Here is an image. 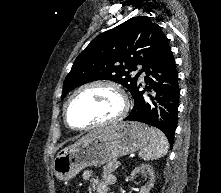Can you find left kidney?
<instances>
[{
    "label": "left kidney",
    "mask_w": 221,
    "mask_h": 193,
    "mask_svg": "<svg viewBox=\"0 0 221 193\" xmlns=\"http://www.w3.org/2000/svg\"><path fill=\"white\" fill-rule=\"evenodd\" d=\"M142 173L148 180L147 183L140 188V193H149L151 188L154 186L155 182V175L154 170L149 164H143L141 166L136 167L132 173V178L135 177L137 174Z\"/></svg>",
    "instance_id": "1"
}]
</instances>
